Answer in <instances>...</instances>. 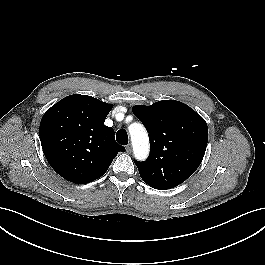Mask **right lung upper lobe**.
Here are the masks:
<instances>
[{"label": "right lung upper lobe", "mask_w": 265, "mask_h": 265, "mask_svg": "<svg viewBox=\"0 0 265 265\" xmlns=\"http://www.w3.org/2000/svg\"><path fill=\"white\" fill-rule=\"evenodd\" d=\"M112 104L74 94L53 105L40 123L44 155L67 181L86 184L101 177L117 153L114 130L104 125Z\"/></svg>", "instance_id": "1"}]
</instances>
